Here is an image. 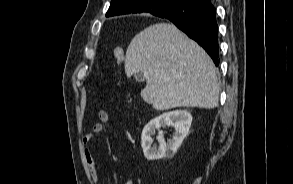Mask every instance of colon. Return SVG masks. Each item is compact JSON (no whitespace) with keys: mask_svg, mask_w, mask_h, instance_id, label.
Wrapping results in <instances>:
<instances>
[{"mask_svg":"<svg viewBox=\"0 0 293 184\" xmlns=\"http://www.w3.org/2000/svg\"><path fill=\"white\" fill-rule=\"evenodd\" d=\"M113 55H114V58L116 59V61L119 63V64H122L124 62V58H125V55H124V51L122 48L120 47H115L113 49Z\"/></svg>","mask_w":293,"mask_h":184,"instance_id":"colon-1","label":"colon"}]
</instances>
